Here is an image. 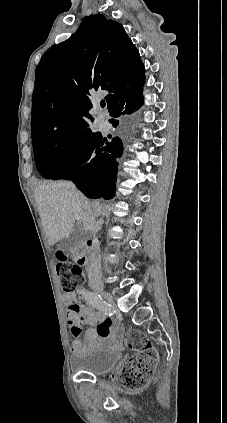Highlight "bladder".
Returning a JSON list of instances; mask_svg holds the SVG:
<instances>
[{
  "instance_id": "1",
  "label": "bladder",
  "mask_w": 227,
  "mask_h": 423,
  "mask_svg": "<svg viewBox=\"0 0 227 423\" xmlns=\"http://www.w3.org/2000/svg\"><path fill=\"white\" fill-rule=\"evenodd\" d=\"M120 359L117 350L91 349L79 357H74L73 369L94 376H105L112 373Z\"/></svg>"
}]
</instances>
